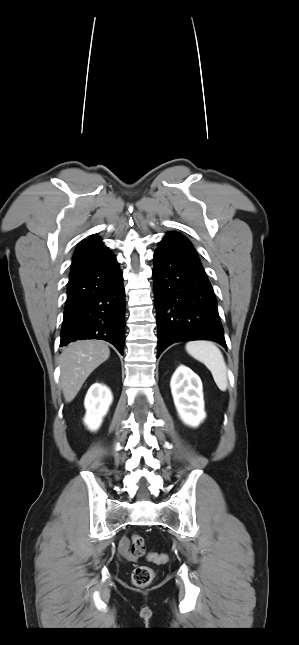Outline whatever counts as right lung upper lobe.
<instances>
[{"instance_id": "cb5924a9", "label": "right lung upper lobe", "mask_w": 299, "mask_h": 645, "mask_svg": "<svg viewBox=\"0 0 299 645\" xmlns=\"http://www.w3.org/2000/svg\"><path fill=\"white\" fill-rule=\"evenodd\" d=\"M111 255L112 253L104 246L100 237L92 235L89 239L82 240L76 248L71 264V274Z\"/></svg>"}]
</instances>
